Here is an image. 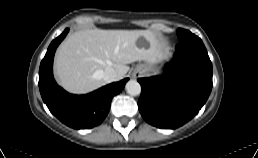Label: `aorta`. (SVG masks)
<instances>
[{"instance_id": "762f6f07", "label": "aorta", "mask_w": 258, "mask_h": 158, "mask_svg": "<svg viewBox=\"0 0 258 158\" xmlns=\"http://www.w3.org/2000/svg\"><path fill=\"white\" fill-rule=\"evenodd\" d=\"M126 91L128 94L132 96H137L141 93V86L140 84L135 80H130L126 83Z\"/></svg>"}]
</instances>
